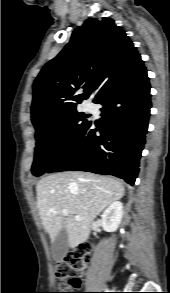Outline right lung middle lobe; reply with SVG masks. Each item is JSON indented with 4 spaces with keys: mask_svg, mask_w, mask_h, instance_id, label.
<instances>
[{
    "mask_svg": "<svg viewBox=\"0 0 170 293\" xmlns=\"http://www.w3.org/2000/svg\"><path fill=\"white\" fill-rule=\"evenodd\" d=\"M85 118L74 108L36 128L33 175L46 173L59 160L89 123Z\"/></svg>",
    "mask_w": 170,
    "mask_h": 293,
    "instance_id": "obj_1",
    "label": "right lung middle lobe"
}]
</instances>
